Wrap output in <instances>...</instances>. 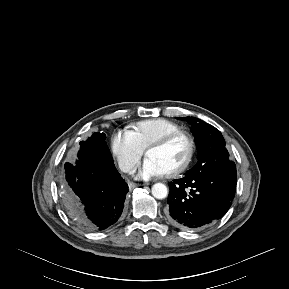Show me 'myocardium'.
I'll list each match as a JSON object with an SVG mask.
<instances>
[{"label": "myocardium", "mask_w": 289, "mask_h": 289, "mask_svg": "<svg viewBox=\"0 0 289 289\" xmlns=\"http://www.w3.org/2000/svg\"><path fill=\"white\" fill-rule=\"evenodd\" d=\"M180 138H183L186 140V142L188 144V152H187L185 159L183 160V162L180 165H178L176 168H174L173 170H171L165 174L167 177L177 176V175L183 173L190 166V164L194 158L195 151H196V143H195L194 138L189 133L184 132V131L173 132V133L167 134V135L159 138L158 140L152 142L146 148L145 154L147 155V153L149 151L165 147L168 144H170L173 141L180 139Z\"/></svg>", "instance_id": "myocardium-1"}]
</instances>
